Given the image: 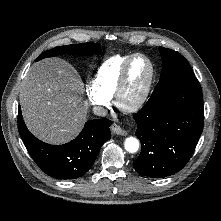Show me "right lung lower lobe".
Masks as SVG:
<instances>
[{"mask_svg": "<svg viewBox=\"0 0 221 221\" xmlns=\"http://www.w3.org/2000/svg\"><path fill=\"white\" fill-rule=\"evenodd\" d=\"M110 125L105 119L88 121L74 140L50 145L33 136L20 108L18 113V131L30 156L44 173L62 180L79 178L91 168L101 146L111 137Z\"/></svg>", "mask_w": 221, "mask_h": 221, "instance_id": "obj_1", "label": "right lung lower lobe"}]
</instances>
